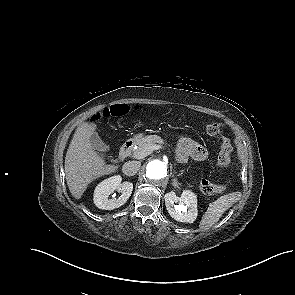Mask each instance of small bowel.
<instances>
[{
    "label": "small bowel",
    "instance_id": "c3829d8e",
    "mask_svg": "<svg viewBox=\"0 0 295 295\" xmlns=\"http://www.w3.org/2000/svg\"><path fill=\"white\" fill-rule=\"evenodd\" d=\"M208 156L207 151L190 136H181L177 146V157L179 162L185 163L189 159L204 161Z\"/></svg>",
    "mask_w": 295,
    "mask_h": 295
}]
</instances>
